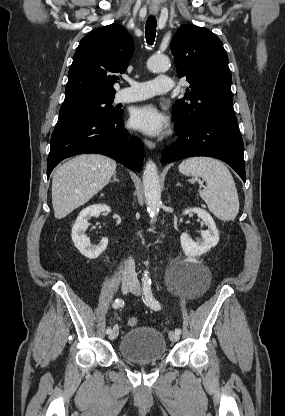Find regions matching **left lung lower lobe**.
<instances>
[{
    "mask_svg": "<svg viewBox=\"0 0 285 416\" xmlns=\"http://www.w3.org/2000/svg\"><path fill=\"white\" fill-rule=\"evenodd\" d=\"M178 139L166 148L161 162L208 156L230 165L245 182L243 140L234 116H213L195 122L188 127H176Z\"/></svg>",
    "mask_w": 285,
    "mask_h": 416,
    "instance_id": "obj_1",
    "label": "left lung lower lobe"
}]
</instances>
